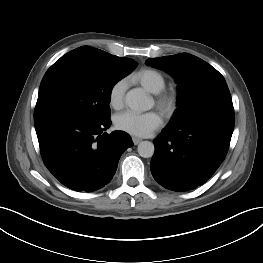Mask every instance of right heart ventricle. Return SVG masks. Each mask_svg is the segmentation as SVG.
I'll return each instance as SVG.
<instances>
[{
    "label": "right heart ventricle",
    "mask_w": 263,
    "mask_h": 263,
    "mask_svg": "<svg viewBox=\"0 0 263 263\" xmlns=\"http://www.w3.org/2000/svg\"><path fill=\"white\" fill-rule=\"evenodd\" d=\"M131 80L153 94L161 92L166 85L163 74L152 68L140 69L131 76Z\"/></svg>",
    "instance_id": "right-heart-ventricle-1"
}]
</instances>
